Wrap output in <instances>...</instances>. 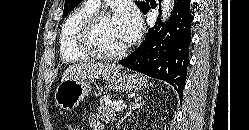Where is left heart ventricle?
Instances as JSON below:
<instances>
[{"instance_id":"b2bd125f","label":"left heart ventricle","mask_w":249,"mask_h":130,"mask_svg":"<svg viewBox=\"0 0 249 130\" xmlns=\"http://www.w3.org/2000/svg\"><path fill=\"white\" fill-rule=\"evenodd\" d=\"M97 45L106 52L115 53L123 49L128 41L125 32L116 16L104 19L96 29Z\"/></svg>"}]
</instances>
